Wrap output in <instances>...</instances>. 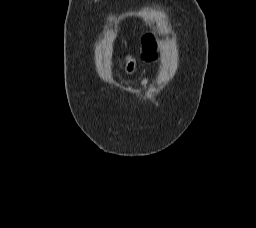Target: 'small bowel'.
Wrapping results in <instances>:
<instances>
[{
  "instance_id": "c3829d8e",
  "label": "small bowel",
  "mask_w": 256,
  "mask_h": 228,
  "mask_svg": "<svg viewBox=\"0 0 256 228\" xmlns=\"http://www.w3.org/2000/svg\"><path fill=\"white\" fill-rule=\"evenodd\" d=\"M143 61H151L152 59H148L145 56H142ZM136 60L134 58L127 59V71L132 72L135 66ZM140 83L144 89L148 88V79L146 77L141 76Z\"/></svg>"
}]
</instances>
